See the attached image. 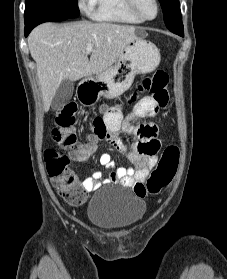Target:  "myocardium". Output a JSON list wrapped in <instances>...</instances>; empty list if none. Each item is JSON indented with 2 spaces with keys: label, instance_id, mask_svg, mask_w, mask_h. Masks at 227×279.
<instances>
[{
  "label": "myocardium",
  "instance_id": "1",
  "mask_svg": "<svg viewBox=\"0 0 227 279\" xmlns=\"http://www.w3.org/2000/svg\"><path fill=\"white\" fill-rule=\"evenodd\" d=\"M128 1V4H129V7L130 9L132 10V12L134 13V15L136 17H138L140 20L142 21H152L154 20L158 14H159V3H158V0H153L154 2V5H155V9H156V12H155V15L151 18L149 17H145L143 16L139 10H138V6H137V0H127Z\"/></svg>",
  "mask_w": 227,
  "mask_h": 279
}]
</instances>
